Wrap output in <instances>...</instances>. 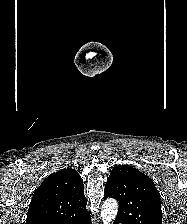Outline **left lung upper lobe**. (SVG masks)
I'll return each mask as SVG.
<instances>
[{"mask_svg":"<svg viewBox=\"0 0 187 224\" xmlns=\"http://www.w3.org/2000/svg\"><path fill=\"white\" fill-rule=\"evenodd\" d=\"M112 197L119 202L116 217L122 224H161L160 194L153 181L131 166L115 167L108 179L104 199Z\"/></svg>","mask_w":187,"mask_h":224,"instance_id":"obj_1","label":"left lung upper lobe"}]
</instances>
